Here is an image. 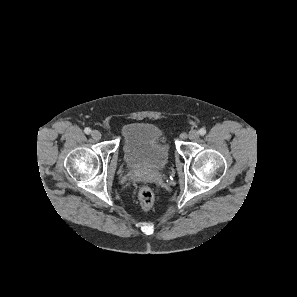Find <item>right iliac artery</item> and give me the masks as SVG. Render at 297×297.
I'll use <instances>...</instances> for the list:
<instances>
[{"label":"right iliac artery","mask_w":297,"mask_h":297,"mask_svg":"<svg viewBox=\"0 0 297 297\" xmlns=\"http://www.w3.org/2000/svg\"><path fill=\"white\" fill-rule=\"evenodd\" d=\"M84 132H85L86 134H89V133L91 132V129H90L89 127H87V128L84 129Z\"/></svg>","instance_id":"1"}]
</instances>
